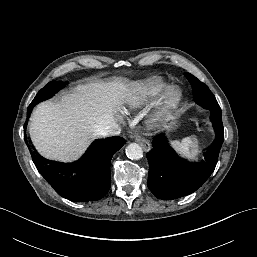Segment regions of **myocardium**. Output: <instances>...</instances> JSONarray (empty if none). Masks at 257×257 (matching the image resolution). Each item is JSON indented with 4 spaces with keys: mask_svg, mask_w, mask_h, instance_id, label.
<instances>
[{
    "mask_svg": "<svg viewBox=\"0 0 257 257\" xmlns=\"http://www.w3.org/2000/svg\"><path fill=\"white\" fill-rule=\"evenodd\" d=\"M182 98L181 90L176 86H171L165 90L160 100L159 111L154 117L153 121L156 122L159 118L174 109Z\"/></svg>",
    "mask_w": 257,
    "mask_h": 257,
    "instance_id": "myocardium-1",
    "label": "myocardium"
}]
</instances>
